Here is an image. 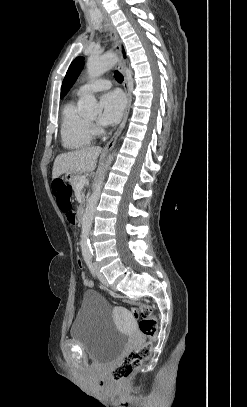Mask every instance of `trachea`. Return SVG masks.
<instances>
[{
	"mask_svg": "<svg viewBox=\"0 0 247 407\" xmlns=\"http://www.w3.org/2000/svg\"><path fill=\"white\" fill-rule=\"evenodd\" d=\"M114 78L116 79V81L118 82H122L123 81V75L119 72V71H115L114 72Z\"/></svg>",
	"mask_w": 247,
	"mask_h": 407,
	"instance_id": "3493384b",
	"label": "trachea"
}]
</instances>
